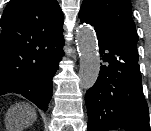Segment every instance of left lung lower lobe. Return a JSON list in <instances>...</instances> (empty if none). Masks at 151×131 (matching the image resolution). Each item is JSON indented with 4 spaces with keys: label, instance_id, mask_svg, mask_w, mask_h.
Listing matches in <instances>:
<instances>
[{
    "label": "left lung lower lobe",
    "instance_id": "1",
    "mask_svg": "<svg viewBox=\"0 0 151 131\" xmlns=\"http://www.w3.org/2000/svg\"><path fill=\"white\" fill-rule=\"evenodd\" d=\"M96 32L104 64L96 83L85 95L88 131H150L138 62L126 57L106 36Z\"/></svg>",
    "mask_w": 151,
    "mask_h": 131
}]
</instances>
